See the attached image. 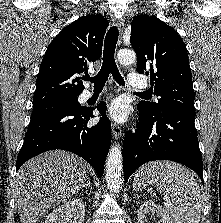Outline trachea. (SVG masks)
Listing matches in <instances>:
<instances>
[{
    "mask_svg": "<svg viewBox=\"0 0 221 223\" xmlns=\"http://www.w3.org/2000/svg\"><path fill=\"white\" fill-rule=\"evenodd\" d=\"M118 35L119 32L117 27L113 26L108 30L104 42L102 67L95 77L86 76V80L93 82L95 88H103L110 74H112L114 80L119 85H125L114 58ZM140 94L148 95L146 92Z\"/></svg>",
    "mask_w": 221,
    "mask_h": 223,
    "instance_id": "3493384b",
    "label": "trachea"
}]
</instances>
